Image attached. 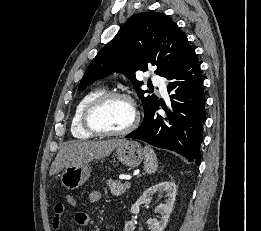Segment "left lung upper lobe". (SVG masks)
<instances>
[{"label":"left lung upper lobe","mask_w":261,"mask_h":231,"mask_svg":"<svg viewBox=\"0 0 261 231\" xmlns=\"http://www.w3.org/2000/svg\"><path fill=\"white\" fill-rule=\"evenodd\" d=\"M194 56L186 35L169 17L158 12L139 13L132 16L92 60L78 90L113 72H121L136 86L146 112L158 98L145 96L146 91L140 89L142 82L135 78V72L147 71L151 64L157 66L156 74L167 78Z\"/></svg>","instance_id":"left-lung-upper-lobe-1"}]
</instances>
